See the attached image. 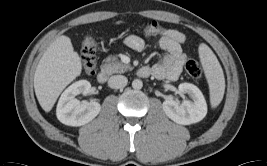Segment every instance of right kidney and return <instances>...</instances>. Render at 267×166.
I'll list each match as a JSON object with an SVG mask.
<instances>
[{"label":"right kidney","instance_id":"1","mask_svg":"<svg viewBox=\"0 0 267 166\" xmlns=\"http://www.w3.org/2000/svg\"><path fill=\"white\" fill-rule=\"evenodd\" d=\"M91 92V84L87 80H79L70 85L61 95L56 109L58 120L68 126H82L92 121L100 112L98 102H80L78 94Z\"/></svg>","mask_w":267,"mask_h":166}]
</instances>
